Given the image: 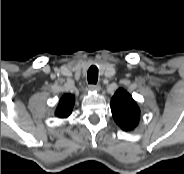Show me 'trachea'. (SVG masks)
<instances>
[{"instance_id": "obj_1", "label": "trachea", "mask_w": 184, "mask_h": 174, "mask_svg": "<svg viewBox=\"0 0 184 174\" xmlns=\"http://www.w3.org/2000/svg\"><path fill=\"white\" fill-rule=\"evenodd\" d=\"M87 80L89 84H96L98 80V68L92 65L88 69Z\"/></svg>"}]
</instances>
